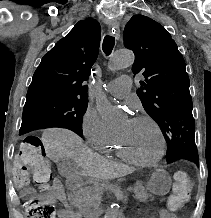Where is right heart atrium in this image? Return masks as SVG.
Returning <instances> with one entry per match:
<instances>
[{
    "instance_id": "right-heart-atrium-1",
    "label": "right heart atrium",
    "mask_w": 211,
    "mask_h": 218,
    "mask_svg": "<svg viewBox=\"0 0 211 218\" xmlns=\"http://www.w3.org/2000/svg\"><path fill=\"white\" fill-rule=\"evenodd\" d=\"M82 132L95 149L107 144L115 135L105 126L101 116L92 108H87L81 121Z\"/></svg>"
}]
</instances>
